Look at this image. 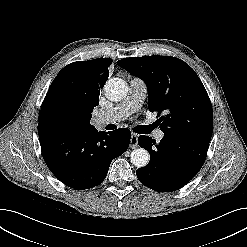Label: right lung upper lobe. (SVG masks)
<instances>
[{"mask_svg": "<svg viewBox=\"0 0 247 247\" xmlns=\"http://www.w3.org/2000/svg\"><path fill=\"white\" fill-rule=\"evenodd\" d=\"M111 59L100 58L89 61L74 62L62 70H72V85L81 106V115L75 133L96 130L90 124L91 113L99 102L100 89L106 82Z\"/></svg>", "mask_w": 247, "mask_h": 247, "instance_id": "right-lung-upper-lobe-1", "label": "right lung upper lobe"}]
</instances>
